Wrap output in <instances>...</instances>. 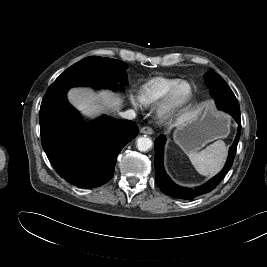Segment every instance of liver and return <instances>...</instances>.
<instances>
[{"mask_svg": "<svg viewBox=\"0 0 267 267\" xmlns=\"http://www.w3.org/2000/svg\"><path fill=\"white\" fill-rule=\"evenodd\" d=\"M70 103L83 115L95 117L103 110H117L122 105V99L108 91L102 90L98 94L88 88H73L68 92ZM195 111H187L181 114L176 123L187 120Z\"/></svg>", "mask_w": 267, "mask_h": 267, "instance_id": "1", "label": "liver"}]
</instances>
